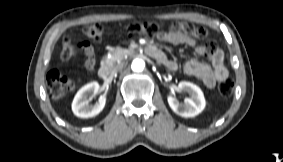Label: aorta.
Returning <instances> with one entry per match:
<instances>
[{
  "label": "aorta",
  "mask_w": 283,
  "mask_h": 162,
  "mask_svg": "<svg viewBox=\"0 0 283 162\" xmlns=\"http://www.w3.org/2000/svg\"><path fill=\"white\" fill-rule=\"evenodd\" d=\"M144 67H145V62L140 58L134 59L131 64V69L134 72H141L143 71Z\"/></svg>",
  "instance_id": "762f6f07"
}]
</instances>
